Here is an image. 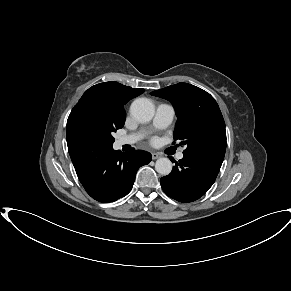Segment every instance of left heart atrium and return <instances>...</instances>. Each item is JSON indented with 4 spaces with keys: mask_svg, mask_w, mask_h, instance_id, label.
<instances>
[{
    "mask_svg": "<svg viewBox=\"0 0 291 291\" xmlns=\"http://www.w3.org/2000/svg\"><path fill=\"white\" fill-rule=\"evenodd\" d=\"M156 141H157V140H156V139H154V140H153V143H156Z\"/></svg>",
    "mask_w": 291,
    "mask_h": 291,
    "instance_id": "39dd6f15",
    "label": "left heart atrium"
}]
</instances>
